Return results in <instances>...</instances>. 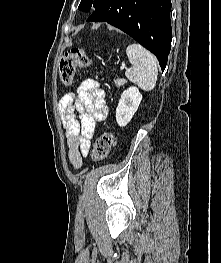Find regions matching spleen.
<instances>
[{"label": "spleen", "mask_w": 221, "mask_h": 263, "mask_svg": "<svg viewBox=\"0 0 221 263\" xmlns=\"http://www.w3.org/2000/svg\"><path fill=\"white\" fill-rule=\"evenodd\" d=\"M126 54L131 63V68L125 72L126 77L144 91L154 89L158 75L154 55L137 43L129 45Z\"/></svg>", "instance_id": "obj_1"}]
</instances>
